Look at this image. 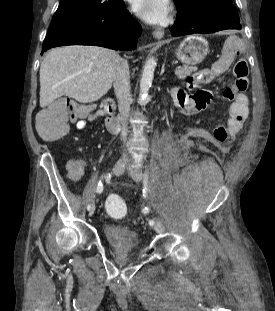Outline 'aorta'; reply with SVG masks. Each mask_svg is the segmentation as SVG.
<instances>
[{"label":"aorta","mask_w":275,"mask_h":311,"mask_svg":"<svg viewBox=\"0 0 275 311\" xmlns=\"http://www.w3.org/2000/svg\"><path fill=\"white\" fill-rule=\"evenodd\" d=\"M156 62L155 59L149 58L144 66L142 78L140 81V91L143 97H146L152 85Z\"/></svg>","instance_id":"aorta-1"}]
</instances>
